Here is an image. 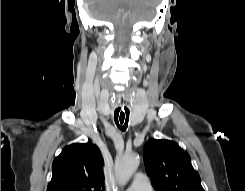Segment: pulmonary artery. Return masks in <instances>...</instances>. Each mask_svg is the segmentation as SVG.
I'll return each mask as SVG.
<instances>
[{
    "instance_id": "1",
    "label": "pulmonary artery",
    "mask_w": 245,
    "mask_h": 191,
    "mask_svg": "<svg viewBox=\"0 0 245 191\" xmlns=\"http://www.w3.org/2000/svg\"><path fill=\"white\" fill-rule=\"evenodd\" d=\"M126 191H153L148 177L144 174H136L132 184Z\"/></svg>"
}]
</instances>
